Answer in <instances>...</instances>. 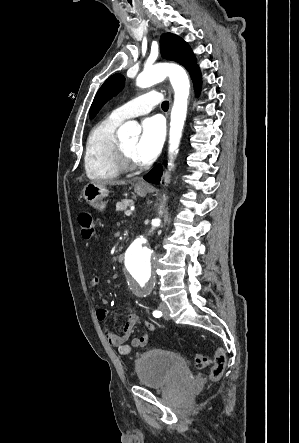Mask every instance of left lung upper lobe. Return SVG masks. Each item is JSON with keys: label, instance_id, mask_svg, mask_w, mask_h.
<instances>
[{"label": "left lung upper lobe", "instance_id": "obj_1", "mask_svg": "<svg viewBox=\"0 0 299 443\" xmlns=\"http://www.w3.org/2000/svg\"><path fill=\"white\" fill-rule=\"evenodd\" d=\"M160 50L164 58L183 65L192 76L198 69L196 59L189 45L177 35L172 33L162 34L160 38ZM124 86L123 75L117 73L109 77L98 90L90 108V118H93L100 108L113 96L122 90Z\"/></svg>", "mask_w": 299, "mask_h": 443}]
</instances>
